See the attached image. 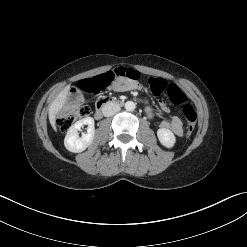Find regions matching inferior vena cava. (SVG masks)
I'll list each match as a JSON object with an SVG mask.
<instances>
[{
	"label": "inferior vena cava",
	"instance_id": "602c4592",
	"mask_svg": "<svg viewBox=\"0 0 247 247\" xmlns=\"http://www.w3.org/2000/svg\"><path fill=\"white\" fill-rule=\"evenodd\" d=\"M119 111H120V106L113 102L106 103L102 108V113L105 117L113 116Z\"/></svg>",
	"mask_w": 247,
	"mask_h": 247
}]
</instances>
